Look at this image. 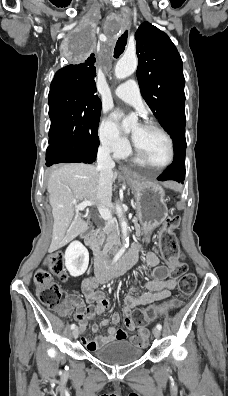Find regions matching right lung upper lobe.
I'll use <instances>...</instances> for the list:
<instances>
[{
  "label": "right lung upper lobe",
  "mask_w": 228,
  "mask_h": 396,
  "mask_svg": "<svg viewBox=\"0 0 228 396\" xmlns=\"http://www.w3.org/2000/svg\"><path fill=\"white\" fill-rule=\"evenodd\" d=\"M96 59L91 54L86 60L80 64L67 65L55 73L52 84L63 83L76 87L82 92L95 95L96 84L94 77L96 76V68L94 63ZM97 96V95H95Z\"/></svg>",
  "instance_id": "obj_1"
}]
</instances>
